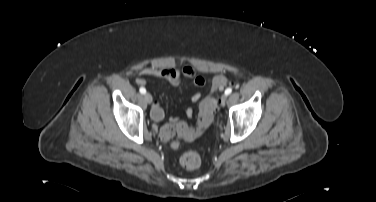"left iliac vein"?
<instances>
[{"label": "left iliac vein", "instance_id": "left-iliac-vein-1", "mask_svg": "<svg viewBox=\"0 0 376 202\" xmlns=\"http://www.w3.org/2000/svg\"><path fill=\"white\" fill-rule=\"evenodd\" d=\"M226 101H227V95L224 94V95H222V97H221V101H220L221 106H225Z\"/></svg>", "mask_w": 376, "mask_h": 202}]
</instances>
